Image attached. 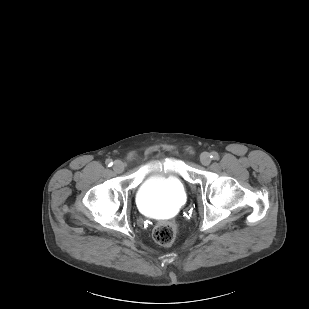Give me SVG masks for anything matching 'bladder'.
<instances>
[{
	"label": "bladder",
	"mask_w": 309,
	"mask_h": 309,
	"mask_svg": "<svg viewBox=\"0 0 309 309\" xmlns=\"http://www.w3.org/2000/svg\"><path fill=\"white\" fill-rule=\"evenodd\" d=\"M158 162L149 165L154 169ZM187 191L183 181L175 175L155 172L147 176L136 193L138 208L151 216L175 213L186 203Z\"/></svg>",
	"instance_id": "1"
}]
</instances>
